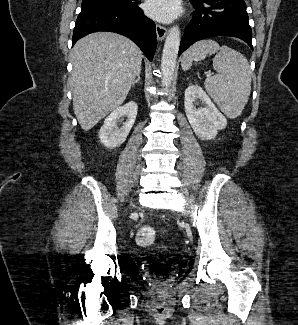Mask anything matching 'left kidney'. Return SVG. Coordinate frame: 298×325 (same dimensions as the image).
<instances>
[{"mask_svg":"<svg viewBox=\"0 0 298 325\" xmlns=\"http://www.w3.org/2000/svg\"><path fill=\"white\" fill-rule=\"evenodd\" d=\"M196 104L201 106L197 108ZM184 108L195 134L202 140L214 138L218 130L227 126V118L198 84H189L185 88Z\"/></svg>","mask_w":298,"mask_h":325,"instance_id":"1","label":"left kidney"}]
</instances>
